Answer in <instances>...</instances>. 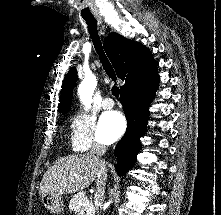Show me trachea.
Instances as JSON below:
<instances>
[{
  "instance_id": "1",
  "label": "trachea",
  "mask_w": 221,
  "mask_h": 215,
  "mask_svg": "<svg viewBox=\"0 0 221 215\" xmlns=\"http://www.w3.org/2000/svg\"><path fill=\"white\" fill-rule=\"evenodd\" d=\"M85 21L87 23L88 31H89V34L92 38L95 50L97 51V54L100 57V61L102 63V66H103L105 72L107 73V75L115 82L117 79L116 74L114 72V69H113L111 63L109 62V60L107 59V57L103 51L100 37L98 35L97 22L95 19H86V18H85ZM119 93H120L119 88L114 85L112 87V94L115 97H118Z\"/></svg>"
}]
</instances>
